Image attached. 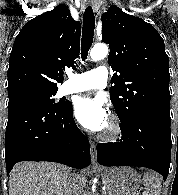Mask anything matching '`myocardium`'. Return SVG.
I'll use <instances>...</instances> for the list:
<instances>
[{
	"label": "myocardium",
	"instance_id": "obj_1",
	"mask_svg": "<svg viewBox=\"0 0 178 195\" xmlns=\"http://www.w3.org/2000/svg\"><path fill=\"white\" fill-rule=\"evenodd\" d=\"M123 129L116 115H111L109 120V126L106 131H104L100 138L104 142H115L122 136Z\"/></svg>",
	"mask_w": 178,
	"mask_h": 195
}]
</instances>
